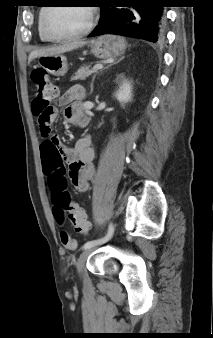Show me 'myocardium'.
Returning a JSON list of instances; mask_svg holds the SVG:
<instances>
[{"label": "myocardium", "instance_id": "f54148a6", "mask_svg": "<svg viewBox=\"0 0 213 338\" xmlns=\"http://www.w3.org/2000/svg\"><path fill=\"white\" fill-rule=\"evenodd\" d=\"M85 1H88V0H85ZM86 6L89 10V22L84 29H82L80 32L70 34V35H66V36H54V35L50 34V32L48 31L47 21H48V16H49L50 12L52 11V9L55 7V5H48V7H47V9H46V11L43 15L42 23H41V31H42V34L45 37V39L48 40V41H52V42H64V41L79 39V38H82V37L88 35L95 26L98 10H97L96 7H94L91 4H87Z\"/></svg>", "mask_w": 213, "mask_h": 338}]
</instances>
